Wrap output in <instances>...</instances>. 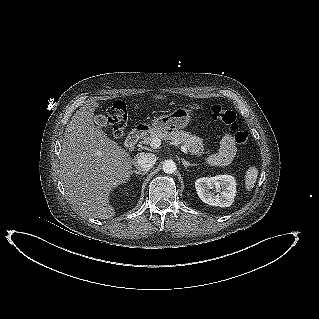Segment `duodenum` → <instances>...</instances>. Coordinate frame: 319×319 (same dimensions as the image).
<instances>
[{
  "instance_id": "410a0bca",
  "label": "duodenum",
  "mask_w": 319,
  "mask_h": 319,
  "mask_svg": "<svg viewBox=\"0 0 319 319\" xmlns=\"http://www.w3.org/2000/svg\"><path fill=\"white\" fill-rule=\"evenodd\" d=\"M148 130L145 125L136 126L133 128L125 139V147L129 150L134 149L142 135Z\"/></svg>"
}]
</instances>
